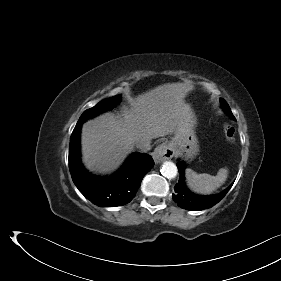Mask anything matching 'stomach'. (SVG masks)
<instances>
[{"label":"stomach","mask_w":281,"mask_h":281,"mask_svg":"<svg viewBox=\"0 0 281 281\" xmlns=\"http://www.w3.org/2000/svg\"><path fill=\"white\" fill-rule=\"evenodd\" d=\"M195 124L196 118L191 111L189 120L174 133L169 142L171 151L186 160L193 159L199 152L198 139L194 131Z\"/></svg>","instance_id":"1"}]
</instances>
